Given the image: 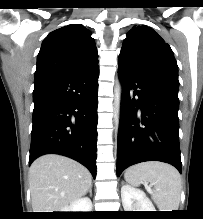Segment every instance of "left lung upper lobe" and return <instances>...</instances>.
<instances>
[{
  "mask_svg": "<svg viewBox=\"0 0 203 219\" xmlns=\"http://www.w3.org/2000/svg\"><path fill=\"white\" fill-rule=\"evenodd\" d=\"M119 64L179 85L178 66L170 46L148 26H135L127 33Z\"/></svg>",
  "mask_w": 203,
  "mask_h": 219,
  "instance_id": "1",
  "label": "left lung upper lobe"
}]
</instances>
